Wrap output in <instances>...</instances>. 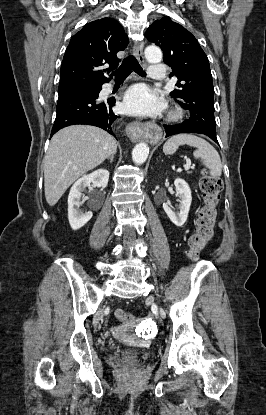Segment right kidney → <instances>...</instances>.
Returning a JSON list of instances; mask_svg holds the SVG:
<instances>
[{
    "instance_id": "ca27d5eb",
    "label": "right kidney",
    "mask_w": 266,
    "mask_h": 415,
    "mask_svg": "<svg viewBox=\"0 0 266 415\" xmlns=\"http://www.w3.org/2000/svg\"><path fill=\"white\" fill-rule=\"evenodd\" d=\"M108 180L109 172L106 169H98L91 174L84 175L74 183L68 196V219L73 230L83 227L93 216L91 211L82 213L79 210L82 192L91 183L95 187L105 188Z\"/></svg>"
}]
</instances>
